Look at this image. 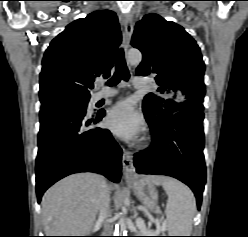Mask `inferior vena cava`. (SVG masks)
<instances>
[{
	"instance_id": "1",
	"label": "inferior vena cava",
	"mask_w": 248,
	"mask_h": 237,
	"mask_svg": "<svg viewBox=\"0 0 248 237\" xmlns=\"http://www.w3.org/2000/svg\"><path fill=\"white\" fill-rule=\"evenodd\" d=\"M110 194L106 182L103 180L99 194V220L104 222L103 236H111L112 226L110 224Z\"/></svg>"
}]
</instances>
